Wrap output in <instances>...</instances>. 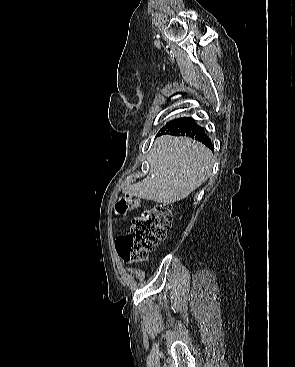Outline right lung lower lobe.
I'll return each instance as SVG.
<instances>
[{
	"instance_id": "obj_1",
	"label": "right lung lower lobe",
	"mask_w": 295,
	"mask_h": 367,
	"mask_svg": "<svg viewBox=\"0 0 295 367\" xmlns=\"http://www.w3.org/2000/svg\"><path fill=\"white\" fill-rule=\"evenodd\" d=\"M171 134L174 136H188L205 144L214 150L211 140L206 136L202 127L197 125L191 117H184L168 122L159 132V135Z\"/></svg>"
}]
</instances>
